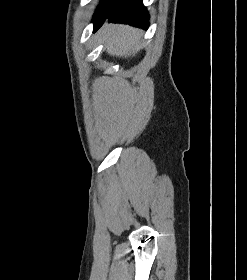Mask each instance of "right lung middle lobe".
Here are the masks:
<instances>
[{"label":"right lung middle lobe","mask_w":247,"mask_h":280,"mask_svg":"<svg viewBox=\"0 0 247 280\" xmlns=\"http://www.w3.org/2000/svg\"><path fill=\"white\" fill-rule=\"evenodd\" d=\"M114 0H103L102 3L98 6L95 15L93 17V21L98 20L101 18L109 6L113 3Z\"/></svg>","instance_id":"dd1d6c3e"}]
</instances>
